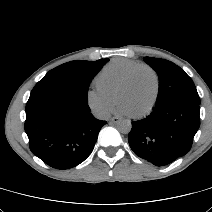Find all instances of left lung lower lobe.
I'll list each match as a JSON object with an SVG mask.
<instances>
[{
  "instance_id": "0a47b994",
  "label": "left lung lower lobe",
  "mask_w": 212,
  "mask_h": 212,
  "mask_svg": "<svg viewBox=\"0 0 212 212\" xmlns=\"http://www.w3.org/2000/svg\"><path fill=\"white\" fill-rule=\"evenodd\" d=\"M200 107L173 100L154 107L146 118L132 122L128 141L134 153L156 166L187 154L200 126Z\"/></svg>"
}]
</instances>
